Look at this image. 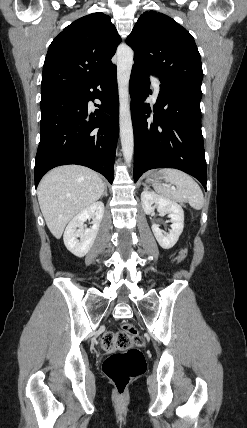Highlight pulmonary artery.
<instances>
[{
  "mask_svg": "<svg viewBox=\"0 0 247 428\" xmlns=\"http://www.w3.org/2000/svg\"><path fill=\"white\" fill-rule=\"evenodd\" d=\"M152 80H153V85H154V88H155V92L159 93V90H160L159 80L157 78H153Z\"/></svg>",
  "mask_w": 247,
  "mask_h": 428,
  "instance_id": "1",
  "label": "pulmonary artery"
}]
</instances>
